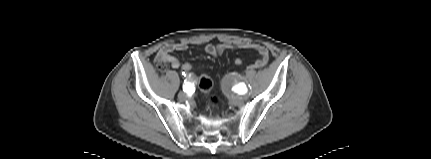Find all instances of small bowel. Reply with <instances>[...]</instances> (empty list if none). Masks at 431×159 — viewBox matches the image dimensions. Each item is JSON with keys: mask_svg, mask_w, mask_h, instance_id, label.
<instances>
[{"mask_svg": "<svg viewBox=\"0 0 431 159\" xmlns=\"http://www.w3.org/2000/svg\"><path fill=\"white\" fill-rule=\"evenodd\" d=\"M187 48H188L187 44L183 42L166 44L158 51L156 55V60L157 62H163L165 64H169L174 69L181 68L183 64H181L176 57L171 55V53L174 51H184ZM231 48L250 49L258 52L259 58L253 64L250 65L251 69H258V68L264 67L268 63V60H269L268 50L264 46L255 44V43L245 42V43H237L233 45L225 44V43L217 44V45L209 44L206 46L205 50L207 54L211 56H217L222 54L225 50L231 49Z\"/></svg>", "mask_w": 431, "mask_h": 159, "instance_id": "c3829d8e", "label": "small bowel"}]
</instances>
